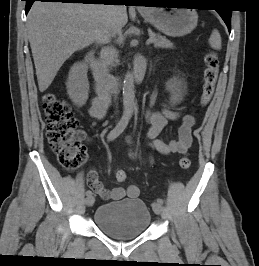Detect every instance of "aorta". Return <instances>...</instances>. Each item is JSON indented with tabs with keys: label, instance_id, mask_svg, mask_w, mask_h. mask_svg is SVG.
Masks as SVG:
<instances>
[{
	"label": "aorta",
	"instance_id": "aorta-1",
	"mask_svg": "<svg viewBox=\"0 0 259 266\" xmlns=\"http://www.w3.org/2000/svg\"><path fill=\"white\" fill-rule=\"evenodd\" d=\"M134 81L133 76L127 73L123 82V113L124 116H131L134 111Z\"/></svg>",
	"mask_w": 259,
	"mask_h": 266
}]
</instances>
